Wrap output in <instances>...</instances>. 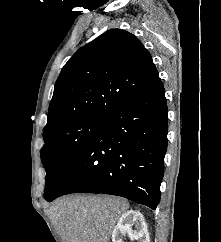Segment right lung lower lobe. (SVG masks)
Returning a JSON list of instances; mask_svg holds the SVG:
<instances>
[{"instance_id":"right-lung-lower-lobe-1","label":"right lung lower lobe","mask_w":221,"mask_h":242,"mask_svg":"<svg viewBox=\"0 0 221 242\" xmlns=\"http://www.w3.org/2000/svg\"><path fill=\"white\" fill-rule=\"evenodd\" d=\"M158 77L103 118L69 162L47 201L71 193L118 195L156 209L164 174L168 117Z\"/></svg>"}]
</instances>
